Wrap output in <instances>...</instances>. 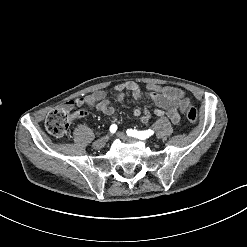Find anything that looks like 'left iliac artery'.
I'll list each match as a JSON object with an SVG mask.
<instances>
[{
	"label": "left iliac artery",
	"mask_w": 247,
	"mask_h": 247,
	"mask_svg": "<svg viewBox=\"0 0 247 247\" xmlns=\"http://www.w3.org/2000/svg\"><path fill=\"white\" fill-rule=\"evenodd\" d=\"M127 135L128 136H132L134 138H138V139H146L149 136L154 134V131L149 129V130H145V131H137V130H133V129H128L127 131Z\"/></svg>",
	"instance_id": "1"
}]
</instances>
